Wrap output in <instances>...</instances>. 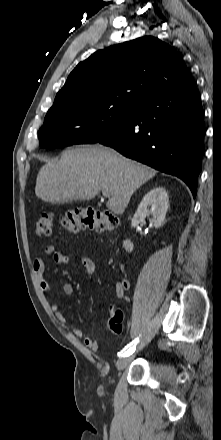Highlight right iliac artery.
Returning a JSON list of instances; mask_svg holds the SVG:
<instances>
[{
	"mask_svg": "<svg viewBox=\"0 0 221 440\" xmlns=\"http://www.w3.org/2000/svg\"><path fill=\"white\" fill-rule=\"evenodd\" d=\"M138 343V339L132 341L129 345H127L120 353H118L119 357H126L134 353L136 349V344Z\"/></svg>",
	"mask_w": 221,
	"mask_h": 440,
	"instance_id": "1",
	"label": "right iliac artery"
}]
</instances>
